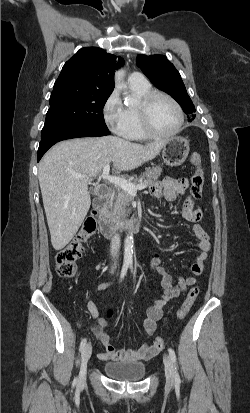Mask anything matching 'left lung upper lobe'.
<instances>
[{
  "label": "left lung upper lobe",
  "mask_w": 250,
  "mask_h": 413,
  "mask_svg": "<svg viewBox=\"0 0 250 413\" xmlns=\"http://www.w3.org/2000/svg\"><path fill=\"white\" fill-rule=\"evenodd\" d=\"M136 64L157 88L171 95L180 104L188 115V121L194 119L195 108L187 94L181 76L165 56L139 54Z\"/></svg>",
  "instance_id": "obj_1"
}]
</instances>
